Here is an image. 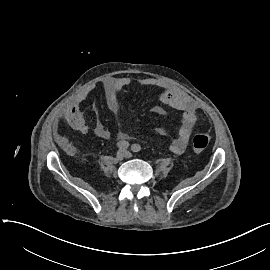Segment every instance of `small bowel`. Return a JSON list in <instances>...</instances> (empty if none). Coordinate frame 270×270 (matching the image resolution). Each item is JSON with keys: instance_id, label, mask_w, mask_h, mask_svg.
Listing matches in <instances>:
<instances>
[{"instance_id": "1", "label": "small bowel", "mask_w": 270, "mask_h": 270, "mask_svg": "<svg viewBox=\"0 0 270 270\" xmlns=\"http://www.w3.org/2000/svg\"><path fill=\"white\" fill-rule=\"evenodd\" d=\"M129 84H131V79L128 77L112 78L106 80L103 84L106 106L115 115L118 123H121L123 120L118 97L120 92ZM142 85L152 89L163 104L182 112L181 126L170 145V150L173 153L182 154L197 124L196 107L190 97L179 88L160 83L155 79H145L142 81ZM87 94L88 90L82 91L64 113L66 123L73 130L81 134H87L90 129L80 107V103L85 99ZM152 112L156 115H161L164 109L157 105L152 107ZM93 131L101 139L107 140L111 137L110 131L100 121L95 122ZM129 137V134L126 132L120 131L118 133L119 139H127Z\"/></svg>"}]
</instances>
